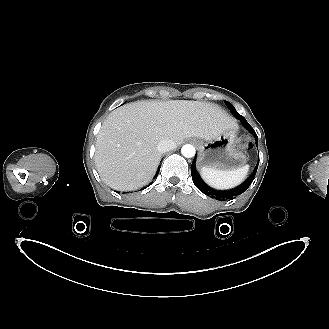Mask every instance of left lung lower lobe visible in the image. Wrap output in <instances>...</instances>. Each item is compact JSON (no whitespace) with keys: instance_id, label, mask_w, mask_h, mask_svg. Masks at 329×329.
Returning <instances> with one entry per match:
<instances>
[{"instance_id":"1","label":"left lung lower lobe","mask_w":329,"mask_h":329,"mask_svg":"<svg viewBox=\"0 0 329 329\" xmlns=\"http://www.w3.org/2000/svg\"><path fill=\"white\" fill-rule=\"evenodd\" d=\"M241 122L242 124L252 133V135L255 138V141H258V137L254 131V129L248 124V122L246 121L245 118H241ZM257 168L258 165L254 168L253 173L250 175V177L243 182L241 185H239L238 187L231 189V190H227V191H218L215 190L213 188H211L210 186H208L199 176V174L197 173L196 167H195V158L192 162L191 165V175H192V179L193 182L195 184V186L203 193H205L207 196H210L212 198H215L217 200L220 201H225V200H229L232 199L240 194H242L243 192H245L248 187L251 185L256 172H257Z\"/></svg>"}]
</instances>
